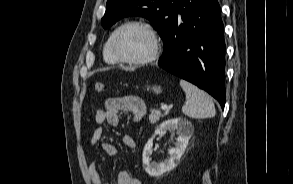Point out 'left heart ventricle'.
<instances>
[{
	"instance_id": "left-heart-ventricle-1",
	"label": "left heart ventricle",
	"mask_w": 293,
	"mask_h": 184,
	"mask_svg": "<svg viewBox=\"0 0 293 184\" xmlns=\"http://www.w3.org/2000/svg\"><path fill=\"white\" fill-rule=\"evenodd\" d=\"M116 48L125 58L137 59L148 55L152 49V39L141 27H128L117 37Z\"/></svg>"
}]
</instances>
